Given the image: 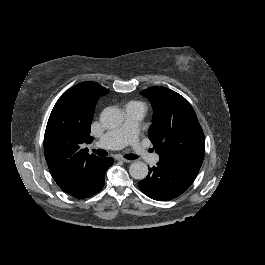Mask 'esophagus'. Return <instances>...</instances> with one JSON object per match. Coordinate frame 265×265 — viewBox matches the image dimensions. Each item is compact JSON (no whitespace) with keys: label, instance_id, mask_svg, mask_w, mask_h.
Listing matches in <instances>:
<instances>
[{"label":"esophagus","instance_id":"34e87169","mask_svg":"<svg viewBox=\"0 0 265 265\" xmlns=\"http://www.w3.org/2000/svg\"><path fill=\"white\" fill-rule=\"evenodd\" d=\"M116 159H117V160H121V161L126 162V163L131 162V160H128V159H126V158H124V157H122V156H117Z\"/></svg>","mask_w":265,"mask_h":265}]
</instances>
